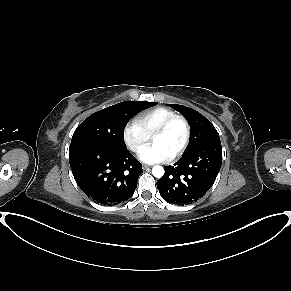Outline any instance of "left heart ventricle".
<instances>
[{"label":"left heart ventricle","mask_w":291,"mask_h":291,"mask_svg":"<svg viewBox=\"0 0 291 291\" xmlns=\"http://www.w3.org/2000/svg\"><path fill=\"white\" fill-rule=\"evenodd\" d=\"M184 134L183 124L178 121L166 133L154 136L152 141L155 144L162 145L173 155L183 142Z\"/></svg>","instance_id":"obj_1"}]
</instances>
